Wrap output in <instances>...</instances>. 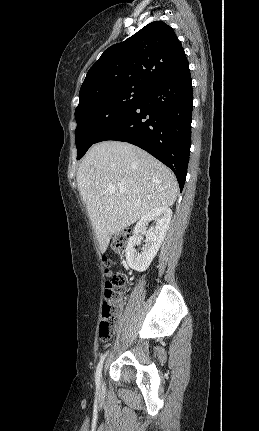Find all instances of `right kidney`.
Returning a JSON list of instances; mask_svg holds the SVG:
<instances>
[{
  "label": "right kidney",
  "mask_w": 259,
  "mask_h": 431,
  "mask_svg": "<svg viewBox=\"0 0 259 431\" xmlns=\"http://www.w3.org/2000/svg\"><path fill=\"white\" fill-rule=\"evenodd\" d=\"M171 217L172 210L168 207L153 209L141 217L135 226L133 236L129 238L125 251L127 264L130 268L143 272L150 266L166 236ZM149 222H155V226L146 231ZM142 231L145 232L146 239L145 245L139 253L135 247L141 242L140 233Z\"/></svg>",
  "instance_id": "right-kidney-1"
}]
</instances>
